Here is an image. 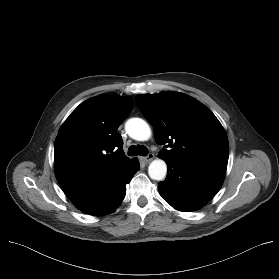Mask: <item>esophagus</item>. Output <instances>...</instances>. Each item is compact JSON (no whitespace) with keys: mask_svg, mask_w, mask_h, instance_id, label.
<instances>
[{"mask_svg":"<svg viewBox=\"0 0 279 279\" xmlns=\"http://www.w3.org/2000/svg\"><path fill=\"white\" fill-rule=\"evenodd\" d=\"M144 162H150L154 159V154L153 153H149L146 157L142 158Z\"/></svg>","mask_w":279,"mask_h":279,"instance_id":"obj_1","label":"esophagus"}]
</instances>
